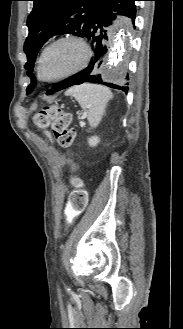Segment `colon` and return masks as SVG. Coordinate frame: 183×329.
I'll return each instance as SVG.
<instances>
[{
    "label": "colon",
    "mask_w": 183,
    "mask_h": 329,
    "mask_svg": "<svg viewBox=\"0 0 183 329\" xmlns=\"http://www.w3.org/2000/svg\"><path fill=\"white\" fill-rule=\"evenodd\" d=\"M71 114L61 107L51 104L42 107L34 116V123L41 129H49L46 132L48 137L53 136L62 147H70L74 140V130L70 127ZM75 189L71 192L68 199V206L63 207L61 219L67 221V226L71 224L74 218L83 217V211L86 208L88 195L81 186L77 178L72 180Z\"/></svg>",
    "instance_id": "obj_1"
}]
</instances>
